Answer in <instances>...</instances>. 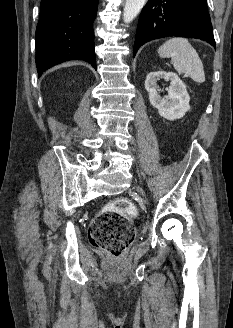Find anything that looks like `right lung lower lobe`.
<instances>
[{
	"instance_id": "1",
	"label": "right lung lower lobe",
	"mask_w": 233,
	"mask_h": 328,
	"mask_svg": "<svg viewBox=\"0 0 233 328\" xmlns=\"http://www.w3.org/2000/svg\"><path fill=\"white\" fill-rule=\"evenodd\" d=\"M99 0H42L36 29L39 75L61 62L82 59L96 68L93 21Z\"/></svg>"
}]
</instances>
